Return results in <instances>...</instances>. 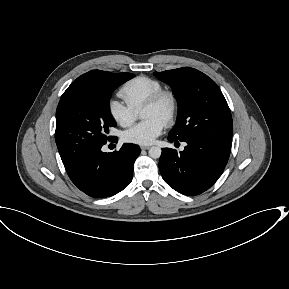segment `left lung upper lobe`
Returning <instances> with one entry per match:
<instances>
[{
  "label": "left lung upper lobe",
  "mask_w": 289,
  "mask_h": 289,
  "mask_svg": "<svg viewBox=\"0 0 289 289\" xmlns=\"http://www.w3.org/2000/svg\"><path fill=\"white\" fill-rule=\"evenodd\" d=\"M156 77L174 89L178 115L168 136L179 141L208 138L231 141L232 116L217 84L190 67L155 72Z\"/></svg>",
  "instance_id": "5c2ea615"
}]
</instances>
